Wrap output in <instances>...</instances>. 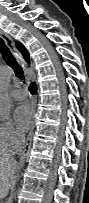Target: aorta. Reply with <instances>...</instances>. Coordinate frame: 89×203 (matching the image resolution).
<instances>
[{"label": "aorta", "mask_w": 89, "mask_h": 203, "mask_svg": "<svg viewBox=\"0 0 89 203\" xmlns=\"http://www.w3.org/2000/svg\"><path fill=\"white\" fill-rule=\"evenodd\" d=\"M12 76V72L10 69L6 68L2 71L1 75V92H0V117L2 119H7L10 115L11 110V101L8 93L6 92V88L10 82ZM10 203V202H7Z\"/></svg>", "instance_id": "762f6f07"}]
</instances>
